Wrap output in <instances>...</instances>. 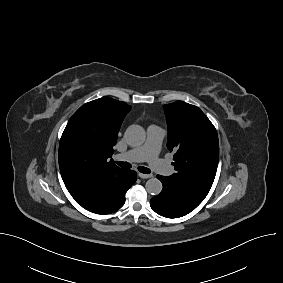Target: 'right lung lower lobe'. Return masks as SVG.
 I'll return each mask as SVG.
<instances>
[{
    "label": "right lung lower lobe",
    "mask_w": 283,
    "mask_h": 283,
    "mask_svg": "<svg viewBox=\"0 0 283 283\" xmlns=\"http://www.w3.org/2000/svg\"><path fill=\"white\" fill-rule=\"evenodd\" d=\"M136 179L135 171L123 170L105 180L85 198L77 202L93 213L109 214L115 212L124 205L125 193L136 182Z\"/></svg>",
    "instance_id": "obj_1"
}]
</instances>
